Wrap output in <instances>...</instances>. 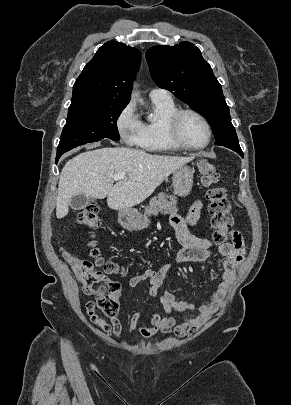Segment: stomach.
I'll use <instances>...</instances> for the list:
<instances>
[{
  "instance_id": "obj_1",
  "label": "stomach",
  "mask_w": 291,
  "mask_h": 405,
  "mask_svg": "<svg viewBox=\"0 0 291 405\" xmlns=\"http://www.w3.org/2000/svg\"><path fill=\"white\" fill-rule=\"evenodd\" d=\"M194 170L188 166H181L173 172L172 185L174 194L186 197L193 186ZM118 222L127 230H141L148 227L150 220L135 209L120 210Z\"/></svg>"
}]
</instances>
